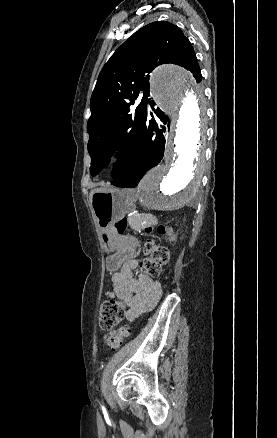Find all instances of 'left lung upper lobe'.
Returning <instances> with one entry per match:
<instances>
[{"label":"left lung upper lobe","mask_w":277,"mask_h":438,"mask_svg":"<svg viewBox=\"0 0 277 438\" xmlns=\"http://www.w3.org/2000/svg\"><path fill=\"white\" fill-rule=\"evenodd\" d=\"M162 63H174L202 79L193 47L183 32L166 21L150 23L129 37L102 68L91 96L87 123L90 173L95 176L116 148L128 147L113 181L128 167L145 127L149 73ZM143 98L135 105L139 92Z\"/></svg>","instance_id":"5c2ea615"}]
</instances>
